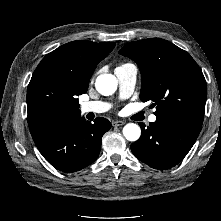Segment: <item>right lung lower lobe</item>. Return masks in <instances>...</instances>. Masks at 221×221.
Wrapping results in <instances>:
<instances>
[{"label": "right lung lower lobe", "instance_id": "1", "mask_svg": "<svg viewBox=\"0 0 221 221\" xmlns=\"http://www.w3.org/2000/svg\"><path fill=\"white\" fill-rule=\"evenodd\" d=\"M111 127L102 117L92 124L79 117H65L31 132L43 157L56 169L69 173L94 162L101 149V139Z\"/></svg>", "mask_w": 221, "mask_h": 221}]
</instances>
